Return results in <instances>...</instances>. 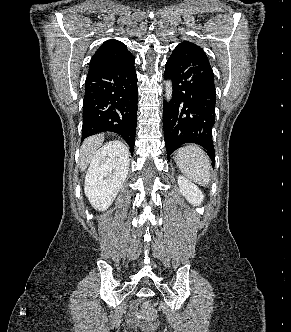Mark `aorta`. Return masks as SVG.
Wrapping results in <instances>:
<instances>
[{"label":"aorta","mask_w":291,"mask_h":332,"mask_svg":"<svg viewBox=\"0 0 291 332\" xmlns=\"http://www.w3.org/2000/svg\"><path fill=\"white\" fill-rule=\"evenodd\" d=\"M172 92H173L172 82L171 80H167L165 82V97L167 102H170V100L172 99Z\"/></svg>","instance_id":"1"}]
</instances>
